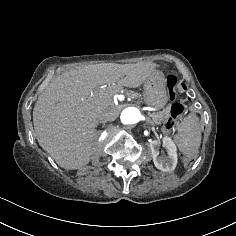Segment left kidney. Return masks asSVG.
<instances>
[{"instance_id": "obj_1", "label": "left kidney", "mask_w": 236, "mask_h": 236, "mask_svg": "<svg viewBox=\"0 0 236 236\" xmlns=\"http://www.w3.org/2000/svg\"><path fill=\"white\" fill-rule=\"evenodd\" d=\"M159 141H152L150 143L152 155H153V162L156 168L162 171H172L175 169L177 165V149L176 145L174 144L173 140L169 137L163 138V147L167 151V156L159 155Z\"/></svg>"}]
</instances>
